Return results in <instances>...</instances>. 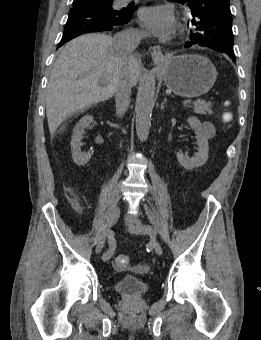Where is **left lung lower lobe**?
<instances>
[{"label":"left lung lower lobe","mask_w":261,"mask_h":340,"mask_svg":"<svg viewBox=\"0 0 261 340\" xmlns=\"http://www.w3.org/2000/svg\"><path fill=\"white\" fill-rule=\"evenodd\" d=\"M209 9H210V10L207 11L208 13L202 14L201 17H205V16H207V15H211V14L213 13L214 9H216V8H209ZM221 11H223L224 13H228L227 10H221ZM191 45H192V42H187L186 45H185V47H190ZM220 52L226 53V54H227L229 57H231L233 60L236 59V58H235L234 52H225L224 50H221Z\"/></svg>","instance_id":"left-lung-lower-lobe-1"}]
</instances>
